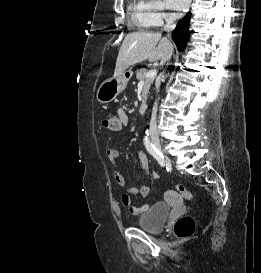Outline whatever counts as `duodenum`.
Returning a JSON list of instances; mask_svg holds the SVG:
<instances>
[{"label":"duodenum","mask_w":261,"mask_h":273,"mask_svg":"<svg viewBox=\"0 0 261 273\" xmlns=\"http://www.w3.org/2000/svg\"><path fill=\"white\" fill-rule=\"evenodd\" d=\"M148 110H149V106H148V104L146 102H143V103L140 104L139 112L141 114H146L148 112Z\"/></svg>","instance_id":"obj_1"}]
</instances>
